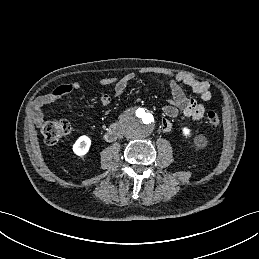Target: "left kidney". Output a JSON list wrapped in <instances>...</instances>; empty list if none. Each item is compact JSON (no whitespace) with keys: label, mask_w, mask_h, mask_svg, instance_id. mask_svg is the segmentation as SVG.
Wrapping results in <instances>:
<instances>
[{"label":"left kidney","mask_w":259,"mask_h":259,"mask_svg":"<svg viewBox=\"0 0 259 259\" xmlns=\"http://www.w3.org/2000/svg\"><path fill=\"white\" fill-rule=\"evenodd\" d=\"M182 132H183V134H184L186 137L191 135V130H190L189 128H187V127H184V128L182 129Z\"/></svg>","instance_id":"left-kidney-1"}]
</instances>
